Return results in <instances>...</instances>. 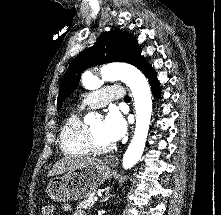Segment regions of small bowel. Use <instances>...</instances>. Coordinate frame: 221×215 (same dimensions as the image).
I'll return each instance as SVG.
<instances>
[{
	"instance_id": "obj_1",
	"label": "small bowel",
	"mask_w": 221,
	"mask_h": 215,
	"mask_svg": "<svg viewBox=\"0 0 221 215\" xmlns=\"http://www.w3.org/2000/svg\"><path fill=\"white\" fill-rule=\"evenodd\" d=\"M62 210L65 212V213H69L71 212L72 208H71V205L68 204V203H65L63 206H62ZM74 215H87L85 212L83 211H76L74 213Z\"/></svg>"
}]
</instances>
